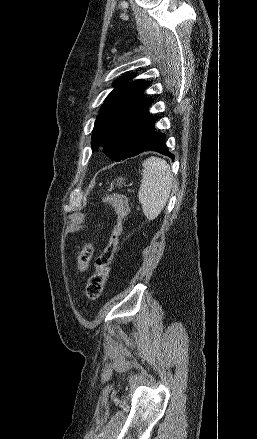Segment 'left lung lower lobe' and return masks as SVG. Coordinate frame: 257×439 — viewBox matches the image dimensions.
<instances>
[{"label":"left lung lower lobe","instance_id":"0a47b994","mask_svg":"<svg viewBox=\"0 0 257 439\" xmlns=\"http://www.w3.org/2000/svg\"><path fill=\"white\" fill-rule=\"evenodd\" d=\"M156 119L157 117L152 116L148 118L141 130L136 146L125 159L137 156L147 151L159 152L174 159V155L169 152L165 145L166 135L154 130Z\"/></svg>","mask_w":257,"mask_h":439}]
</instances>
